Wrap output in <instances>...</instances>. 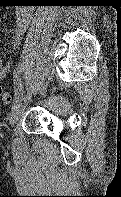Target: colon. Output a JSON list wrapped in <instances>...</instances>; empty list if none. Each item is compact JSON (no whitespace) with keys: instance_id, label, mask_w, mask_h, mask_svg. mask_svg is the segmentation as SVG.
Listing matches in <instances>:
<instances>
[{"instance_id":"5ec220e1","label":"colon","mask_w":121,"mask_h":197,"mask_svg":"<svg viewBox=\"0 0 121 197\" xmlns=\"http://www.w3.org/2000/svg\"><path fill=\"white\" fill-rule=\"evenodd\" d=\"M0 99L6 104H9L12 101L11 95L8 92L4 91L1 86H0Z\"/></svg>"}]
</instances>
